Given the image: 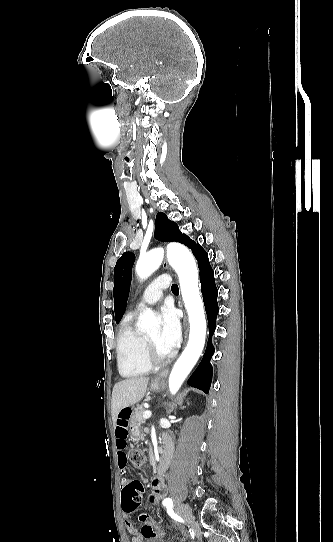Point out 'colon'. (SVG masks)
<instances>
[{
  "instance_id": "1",
  "label": "colon",
  "mask_w": 333,
  "mask_h": 542,
  "mask_svg": "<svg viewBox=\"0 0 333 542\" xmlns=\"http://www.w3.org/2000/svg\"><path fill=\"white\" fill-rule=\"evenodd\" d=\"M127 455V454H126ZM130 457V463L136 467L140 468L146 460V453L142 450H135L129 454ZM123 490V500L125 503L124 505V514L127 516H138L141 519L140 521L143 523L142 525V533L149 539H158L160 537V532L157 527H155L153 524V517L149 516L147 510H140L139 509V501L142 498L143 493V487L140 482H132L130 483L129 487H122Z\"/></svg>"
}]
</instances>
